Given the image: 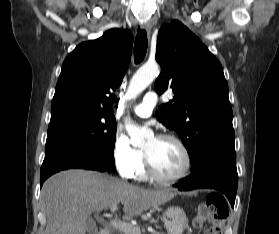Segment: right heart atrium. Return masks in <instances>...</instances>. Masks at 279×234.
I'll list each match as a JSON object with an SVG mask.
<instances>
[{
  "mask_svg": "<svg viewBox=\"0 0 279 234\" xmlns=\"http://www.w3.org/2000/svg\"><path fill=\"white\" fill-rule=\"evenodd\" d=\"M141 151L131 145L127 135L116 131L112 142V159L123 178H131L138 167Z\"/></svg>",
  "mask_w": 279,
  "mask_h": 234,
  "instance_id": "d8ad5b80",
  "label": "right heart atrium"
}]
</instances>
